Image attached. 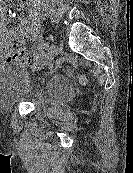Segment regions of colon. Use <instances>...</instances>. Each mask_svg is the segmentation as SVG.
I'll list each match as a JSON object with an SVG mask.
<instances>
[{"label":"colon","mask_w":133,"mask_h":173,"mask_svg":"<svg viewBox=\"0 0 133 173\" xmlns=\"http://www.w3.org/2000/svg\"><path fill=\"white\" fill-rule=\"evenodd\" d=\"M6 62H18L29 64L33 62L31 54L26 52L23 46V41L19 38L12 39L8 42L5 49ZM81 82H85L84 77H80Z\"/></svg>","instance_id":"obj_1"}]
</instances>
